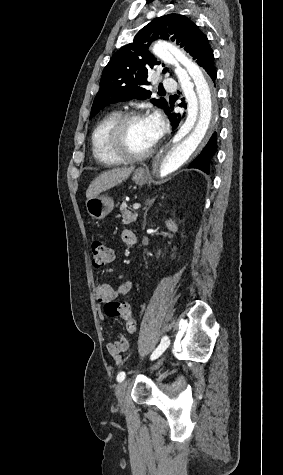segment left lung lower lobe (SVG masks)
Segmentation results:
<instances>
[{
  "label": "left lung lower lobe",
  "mask_w": 283,
  "mask_h": 475,
  "mask_svg": "<svg viewBox=\"0 0 283 475\" xmlns=\"http://www.w3.org/2000/svg\"><path fill=\"white\" fill-rule=\"evenodd\" d=\"M208 75L215 81L216 69L214 67V55L212 54L208 57V59L201 65ZM165 112L169 115L170 120L173 125V129L177 128L181 117L178 114L172 113V110L167 106ZM216 133L213 134L207 145L204 147L200 155L193 160V162L188 166L189 168H197L206 173H209V161L211 157L216 152L217 144H216Z\"/></svg>",
  "instance_id": "0a47b994"
}]
</instances>
